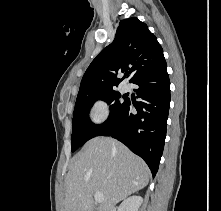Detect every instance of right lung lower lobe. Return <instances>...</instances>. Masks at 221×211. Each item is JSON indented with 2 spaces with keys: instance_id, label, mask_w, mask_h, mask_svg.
Instances as JSON below:
<instances>
[{
  "instance_id": "right-lung-lower-lobe-1",
  "label": "right lung lower lobe",
  "mask_w": 221,
  "mask_h": 211,
  "mask_svg": "<svg viewBox=\"0 0 221 211\" xmlns=\"http://www.w3.org/2000/svg\"><path fill=\"white\" fill-rule=\"evenodd\" d=\"M141 102L126 100L114 119L97 136H112L139 155L155 176L162 156L170 106V80L166 64L134 82ZM134 106L137 114L131 113Z\"/></svg>"
}]
</instances>
